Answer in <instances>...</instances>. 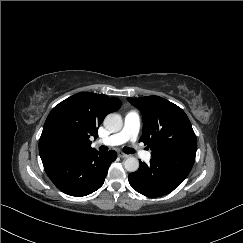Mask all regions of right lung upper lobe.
I'll list each match as a JSON object with an SVG mask.
<instances>
[{
	"mask_svg": "<svg viewBox=\"0 0 243 243\" xmlns=\"http://www.w3.org/2000/svg\"><path fill=\"white\" fill-rule=\"evenodd\" d=\"M120 106L118 98L90 92L77 93L56 105L49 113L43 131L53 125L60 126L72 133L74 143L68 154L58 160L47 159L40 153L43 165L95 151L90 137L97 138V128L105 116L117 111Z\"/></svg>",
	"mask_w": 243,
	"mask_h": 243,
	"instance_id": "obj_1",
	"label": "right lung upper lobe"
}]
</instances>
